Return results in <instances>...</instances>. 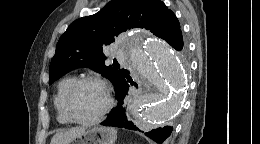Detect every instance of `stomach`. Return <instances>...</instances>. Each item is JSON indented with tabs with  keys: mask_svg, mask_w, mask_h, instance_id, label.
I'll list each match as a JSON object with an SVG mask.
<instances>
[{
	"mask_svg": "<svg viewBox=\"0 0 260 144\" xmlns=\"http://www.w3.org/2000/svg\"><path fill=\"white\" fill-rule=\"evenodd\" d=\"M117 131L112 127H92L74 138L69 144H114Z\"/></svg>",
	"mask_w": 260,
	"mask_h": 144,
	"instance_id": "1",
	"label": "stomach"
}]
</instances>
